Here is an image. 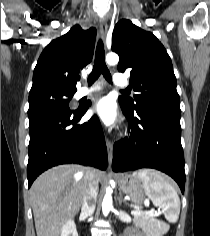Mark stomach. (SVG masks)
I'll return each instance as SVG.
<instances>
[{"label":"stomach","mask_w":210,"mask_h":236,"mask_svg":"<svg viewBox=\"0 0 210 236\" xmlns=\"http://www.w3.org/2000/svg\"><path fill=\"white\" fill-rule=\"evenodd\" d=\"M117 181L121 191L128 195L135 204L141 205L143 203L146 192L141 179L133 175H119Z\"/></svg>","instance_id":"obj_1"}]
</instances>
